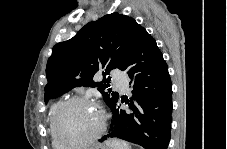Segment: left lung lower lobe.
<instances>
[{"mask_svg": "<svg viewBox=\"0 0 227 149\" xmlns=\"http://www.w3.org/2000/svg\"><path fill=\"white\" fill-rule=\"evenodd\" d=\"M133 84V96L110 107L109 134L99 141L119 138L145 149H167L172 122V83L168 66L155 39L138 27L124 66ZM121 102L128 109H121Z\"/></svg>", "mask_w": 227, "mask_h": 149, "instance_id": "1", "label": "left lung lower lobe"}]
</instances>
